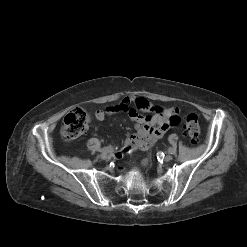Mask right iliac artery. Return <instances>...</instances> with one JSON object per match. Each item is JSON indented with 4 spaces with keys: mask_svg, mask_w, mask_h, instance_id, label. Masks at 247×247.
<instances>
[{
    "mask_svg": "<svg viewBox=\"0 0 247 247\" xmlns=\"http://www.w3.org/2000/svg\"><path fill=\"white\" fill-rule=\"evenodd\" d=\"M113 150V147L112 146H107V147H103L100 151L102 153H107V152H110Z\"/></svg>",
    "mask_w": 247,
    "mask_h": 247,
    "instance_id": "right-iliac-artery-1",
    "label": "right iliac artery"
}]
</instances>
